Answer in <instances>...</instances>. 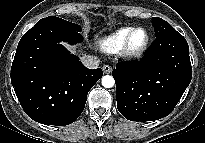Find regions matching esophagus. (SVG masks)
<instances>
[{"instance_id":"34e87169","label":"esophagus","mask_w":205,"mask_h":143,"mask_svg":"<svg viewBox=\"0 0 205 143\" xmlns=\"http://www.w3.org/2000/svg\"><path fill=\"white\" fill-rule=\"evenodd\" d=\"M104 73H111L112 72V67L110 65H104L102 67Z\"/></svg>"}]
</instances>
